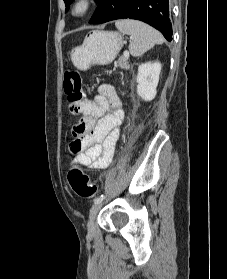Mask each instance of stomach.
<instances>
[{
  "instance_id": "0dacf381",
  "label": "stomach",
  "mask_w": 227,
  "mask_h": 279,
  "mask_svg": "<svg viewBox=\"0 0 227 279\" xmlns=\"http://www.w3.org/2000/svg\"><path fill=\"white\" fill-rule=\"evenodd\" d=\"M123 47L122 36L113 31H92L83 44L74 47L70 56L75 67L87 70L92 65H108Z\"/></svg>"
}]
</instances>
